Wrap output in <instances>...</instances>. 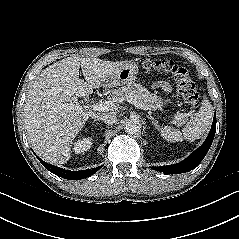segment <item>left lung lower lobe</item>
I'll list each match as a JSON object with an SVG mask.
<instances>
[{"label":"left lung lower lobe","instance_id":"obj_1","mask_svg":"<svg viewBox=\"0 0 239 239\" xmlns=\"http://www.w3.org/2000/svg\"><path fill=\"white\" fill-rule=\"evenodd\" d=\"M216 132V117L213 119L211 130L204 141V143L191 153L184 161L167 166L153 167L154 170L163 172L165 174H180L191 171L204 159L206 156Z\"/></svg>","mask_w":239,"mask_h":239}]
</instances>
